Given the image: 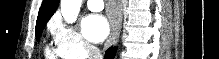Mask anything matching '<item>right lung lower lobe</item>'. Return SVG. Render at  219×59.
Segmentation results:
<instances>
[{"label":"right lung lower lobe","mask_w":219,"mask_h":59,"mask_svg":"<svg viewBox=\"0 0 219 59\" xmlns=\"http://www.w3.org/2000/svg\"><path fill=\"white\" fill-rule=\"evenodd\" d=\"M116 47L115 48H109L106 53H105V59H113L115 52H116Z\"/></svg>","instance_id":"98d812e1"}]
</instances>
